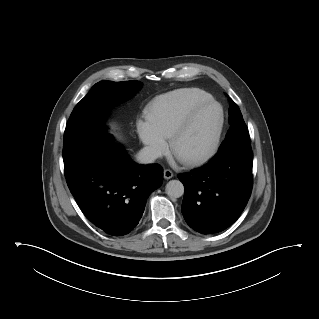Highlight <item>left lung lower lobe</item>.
<instances>
[{
    "label": "left lung lower lobe",
    "instance_id": "1",
    "mask_svg": "<svg viewBox=\"0 0 319 319\" xmlns=\"http://www.w3.org/2000/svg\"><path fill=\"white\" fill-rule=\"evenodd\" d=\"M251 147L218 151L202 168L179 174L185 187L182 214L202 234L218 233L232 225L245 208L252 190Z\"/></svg>",
    "mask_w": 319,
    "mask_h": 319
}]
</instances>
